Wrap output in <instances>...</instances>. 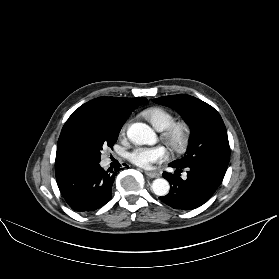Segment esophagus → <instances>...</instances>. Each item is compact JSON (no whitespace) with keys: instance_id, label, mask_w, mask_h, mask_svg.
Returning <instances> with one entry per match:
<instances>
[{"instance_id":"34e87169","label":"esophagus","mask_w":279,"mask_h":279,"mask_svg":"<svg viewBox=\"0 0 279 279\" xmlns=\"http://www.w3.org/2000/svg\"><path fill=\"white\" fill-rule=\"evenodd\" d=\"M145 174L150 178H158L160 176L157 172L145 171Z\"/></svg>"}]
</instances>
